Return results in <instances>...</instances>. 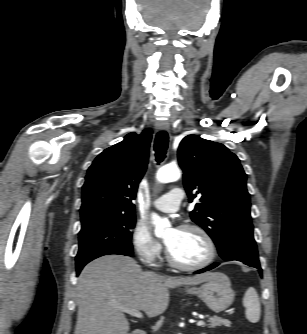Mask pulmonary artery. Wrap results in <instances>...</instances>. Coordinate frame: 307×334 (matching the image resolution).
Returning <instances> with one entry per match:
<instances>
[{"label": "pulmonary artery", "instance_id": "obj_1", "mask_svg": "<svg viewBox=\"0 0 307 334\" xmlns=\"http://www.w3.org/2000/svg\"><path fill=\"white\" fill-rule=\"evenodd\" d=\"M184 198L183 191L180 188H173L166 194L158 197L153 206L162 212H175L179 209Z\"/></svg>", "mask_w": 307, "mask_h": 334}]
</instances>
